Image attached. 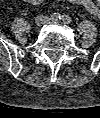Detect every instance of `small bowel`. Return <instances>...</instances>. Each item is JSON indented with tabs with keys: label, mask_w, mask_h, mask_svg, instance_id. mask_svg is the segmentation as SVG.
<instances>
[{
	"label": "small bowel",
	"mask_w": 100,
	"mask_h": 118,
	"mask_svg": "<svg viewBox=\"0 0 100 118\" xmlns=\"http://www.w3.org/2000/svg\"><path fill=\"white\" fill-rule=\"evenodd\" d=\"M29 4H40L44 0H23ZM57 1H67L69 3L81 6L85 8L90 14L99 18L100 17V7L93 0H57ZM100 1V0H99Z\"/></svg>",
	"instance_id": "obj_1"
}]
</instances>
